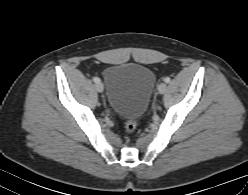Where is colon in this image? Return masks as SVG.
I'll return each mask as SVG.
<instances>
[{
  "label": "colon",
  "instance_id": "5ec220e1",
  "mask_svg": "<svg viewBox=\"0 0 248 195\" xmlns=\"http://www.w3.org/2000/svg\"><path fill=\"white\" fill-rule=\"evenodd\" d=\"M137 129V121L135 118L129 117L125 121V131L127 134L131 135L133 134Z\"/></svg>",
  "mask_w": 248,
  "mask_h": 195
}]
</instances>
